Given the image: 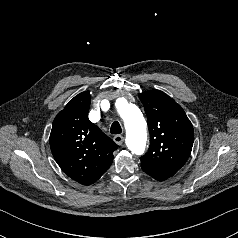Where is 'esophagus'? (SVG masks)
Instances as JSON below:
<instances>
[{"instance_id": "obj_1", "label": "esophagus", "mask_w": 238, "mask_h": 238, "mask_svg": "<svg viewBox=\"0 0 238 238\" xmlns=\"http://www.w3.org/2000/svg\"><path fill=\"white\" fill-rule=\"evenodd\" d=\"M113 140L117 145H122L124 137L122 135H115Z\"/></svg>"}]
</instances>
